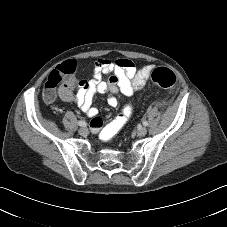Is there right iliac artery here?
Instances as JSON below:
<instances>
[{"label":"right iliac artery","instance_id":"1","mask_svg":"<svg viewBox=\"0 0 227 227\" xmlns=\"http://www.w3.org/2000/svg\"><path fill=\"white\" fill-rule=\"evenodd\" d=\"M78 125H79V126H85L86 123H85V121H79V122H78Z\"/></svg>","mask_w":227,"mask_h":227}]
</instances>
